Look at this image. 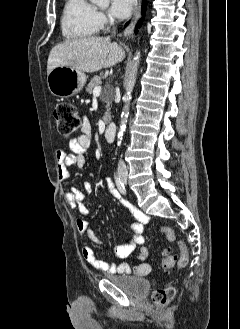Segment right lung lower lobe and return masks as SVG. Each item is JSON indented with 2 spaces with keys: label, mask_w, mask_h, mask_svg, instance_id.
Instances as JSON below:
<instances>
[{
  "label": "right lung lower lobe",
  "mask_w": 240,
  "mask_h": 329,
  "mask_svg": "<svg viewBox=\"0 0 240 329\" xmlns=\"http://www.w3.org/2000/svg\"><path fill=\"white\" fill-rule=\"evenodd\" d=\"M145 9H146V0H143V4H142V14L144 16V13H145ZM141 23H142V19L141 21L137 24L136 26V31H137V28L141 26Z\"/></svg>",
  "instance_id": "obj_1"
}]
</instances>
